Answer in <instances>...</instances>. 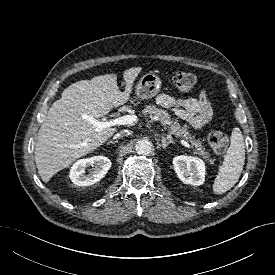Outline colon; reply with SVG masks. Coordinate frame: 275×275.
<instances>
[{"label":"colon","mask_w":275,"mask_h":275,"mask_svg":"<svg viewBox=\"0 0 275 275\" xmlns=\"http://www.w3.org/2000/svg\"><path fill=\"white\" fill-rule=\"evenodd\" d=\"M172 81L179 91L188 92L195 85V76L189 72H176ZM208 143L216 153H223L228 145V137L221 131H211L208 134Z\"/></svg>","instance_id":"1"}]
</instances>
